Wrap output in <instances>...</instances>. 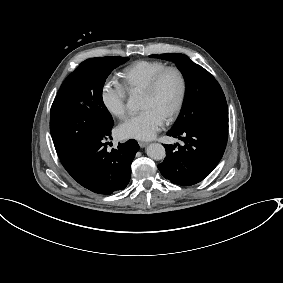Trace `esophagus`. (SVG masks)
<instances>
[{
    "instance_id": "esophagus-1",
    "label": "esophagus",
    "mask_w": 283,
    "mask_h": 283,
    "mask_svg": "<svg viewBox=\"0 0 283 283\" xmlns=\"http://www.w3.org/2000/svg\"><path fill=\"white\" fill-rule=\"evenodd\" d=\"M138 143L141 148H144L145 146L149 144L148 142H143V141H139Z\"/></svg>"
}]
</instances>
